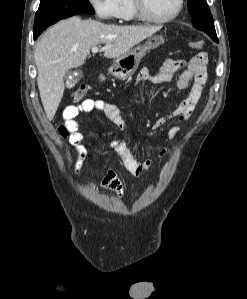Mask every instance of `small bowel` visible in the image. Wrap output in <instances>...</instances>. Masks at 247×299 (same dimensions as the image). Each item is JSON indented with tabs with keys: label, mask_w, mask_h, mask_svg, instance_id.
Instances as JSON below:
<instances>
[{
	"label": "small bowel",
	"mask_w": 247,
	"mask_h": 299,
	"mask_svg": "<svg viewBox=\"0 0 247 299\" xmlns=\"http://www.w3.org/2000/svg\"><path fill=\"white\" fill-rule=\"evenodd\" d=\"M208 57L205 52H201L193 56L187 63L184 60H166L160 69L152 74L148 69H142L137 77L139 83L147 84H161L170 82L175 73L184 67L177 79V87L180 90H185L191 82H193L189 95L172 111L166 118H158L152 124L153 129H160L168 121L178 119L183 121L187 119L196 104L200 100L203 89L207 79L206 65ZM93 110L103 112L118 131H123L125 128V121L121 115L119 108L110 102L99 99H85L78 105H69L63 112L64 123L58 127L59 135L68 139L80 157L79 162L75 167V173L79 174L84 158L86 156V148L83 144L84 135L80 130L78 115L80 113H89ZM178 127L171 126L168 131L170 139L176 137ZM109 150L116 152L123 163L124 168L134 176H142L150 171L154 166V160L138 161L130 152L125 140L121 136H116L107 145ZM167 154V149H162L158 154V159H162ZM102 189L114 192L118 197L123 196V184L119 179L117 173L113 170L106 172L102 183Z\"/></svg>",
	"instance_id": "1"
}]
</instances>
